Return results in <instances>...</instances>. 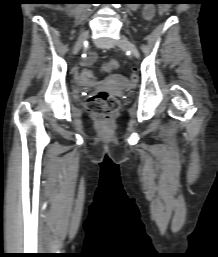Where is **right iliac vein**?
<instances>
[{"instance_id":"1","label":"right iliac vein","mask_w":218,"mask_h":257,"mask_svg":"<svg viewBox=\"0 0 218 257\" xmlns=\"http://www.w3.org/2000/svg\"><path fill=\"white\" fill-rule=\"evenodd\" d=\"M89 33L87 31L81 33V35L78 37L77 42L75 44L73 53L76 54L81 47L83 46L85 40L88 38Z\"/></svg>"}]
</instances>
